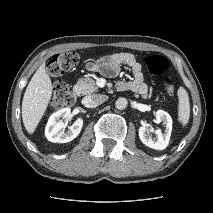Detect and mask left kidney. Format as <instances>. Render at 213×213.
Masks as SVG:
<instances>
[{"instance_id":"left-kidney-1","label":"left kidney","mask_w":213,"mask_h":213,"mask_svg":"<svg viewBox=\"0 0 213 213\" xmlns=\"http://www.w3.org/2000/svg\"><path fill=\"white\" fill-rule=\"evenodd\" d=\"M156 120L157 122H163L166 125L164 133L161 131V129H157L155 131L157 137L154 139L148 135V129L145 126H141L139 128V138L144 145L152 149L164 150L168 146L170 140L172 131V118L167 112L158 110L156 112Z\"/></svg>"}]
</instances>
